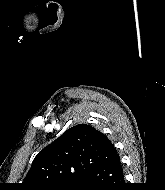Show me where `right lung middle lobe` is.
<instances>
[{
  "label": "right lung middle lobe",
  "instance_id": "obj_1",
  "mask_svg": "<svg viewBox=\"0 0 165 190\" xmlns=\"http://www.w3.org/2000/svg\"><path fill=\"white\" fill-rule=\"evenodd\" d=\"M81 185H82V181L79 180L73 184L57 186V187L50 188L49 190H80Z\"/></svg>",
  "mask_w": 165,
  "mask_h": 190
}]
</instances>
